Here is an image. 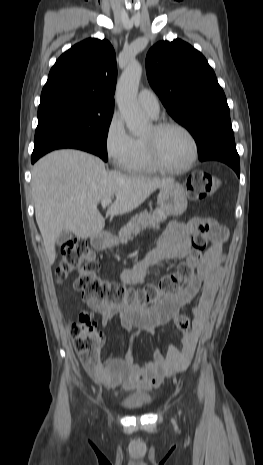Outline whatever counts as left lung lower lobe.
Wrapping results in <instances>:
<instances>
[{
	"label": "left lung lower lobe",
	"mask_w": 263,
	"mask_h": 465,
	"mask_svg": "<svg viewBox=\"0 0 263 465\" xmlns=\"http://www.w3.org/2000/svg\"><path fill=\"white\" fill-rule=\"evenodd\" d=\"M200 161L218 160L228 164L240 176V161L235 143L220 144L199 156Z\"/></svg>",
	"instance_id": "0a47b994"
}]
</instances>
